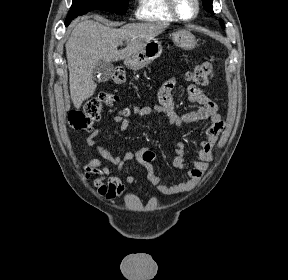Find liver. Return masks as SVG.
<instances>
[{"label": "liver", "mask_w": 288, "mask_h": 280, "mask_svg": "<svg viewBox=\"0 0 288 280\" xmlns=\"http://www.w3.org/2000/svg\"><path fill=\"white\" fill-rule=\"evenodd\" d=\"M168 27L167 23H129L120 28L84 19L73 29L66 43L71 100L76 109L97 87L93 69L100 61L115 62L138 52L142 46ZM126 41L124 49L117 46Z\"/></svg>", "instance_id": "1"}]
</instances>
